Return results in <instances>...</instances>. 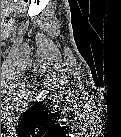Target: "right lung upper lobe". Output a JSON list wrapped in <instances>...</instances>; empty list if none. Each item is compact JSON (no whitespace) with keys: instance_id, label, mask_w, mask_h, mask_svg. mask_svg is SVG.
<instances>
[{"instance_id":"obj_1","label":"right lung upper lobe","mask_w":121,"mask_h":137,"mask_svg":"<svg viewBox=\"0 0 121 137\" xmlns=\"http://www.w3.org/2000/svg\"><path fill=\"white\" fill-rule=\"evenodd\" d=\"M18 130L21 135H43L60 130V126L54 114L38 102L23 113Z\"/></svg>"}]
</instances>
